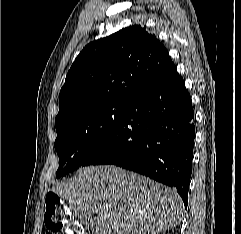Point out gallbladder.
I'll return each mask as SVG.
<instances>
[{
	"label": "gallbladder",
	"instance_id": "bac80fb5",
	"mask_svg": "<svg viewBox=\"0 0 241 234\" xmlns=\"http://www.w3.org/2000/svg\"><path fill=\"white\" fill-rule=\"evenodd\" d=\"M72 211L83 223H85L86 225L89 224V222H90L89 217L88 218L84 217L82 210L79 212H76L75 209H72Z\"/></svg>",
	"mask_w": 241,
	"mask_h": 234
}]
</instances>
